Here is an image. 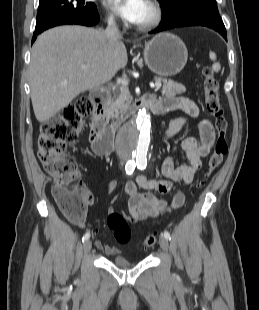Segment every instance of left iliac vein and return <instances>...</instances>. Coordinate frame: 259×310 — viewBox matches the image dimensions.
Returning a JSON list of instances; mask_svg holds the SVG:
<instances>
[{
  "mask_svg": "<svg viewBox=\"0 0 259 310\" xmlns=\"http://www.w3.org/2000/svg\"><path fill=\"white\" fill-rule=\"evenodd\" d=\"M159 244H160V247L162 248V250L164 252H168L169 251V243H168V240L165 237H163V236L160 237Z\"/></svg>",
  "mask_w": 259,
  "mask_h": 310,
  "instance_id": "1",
  "label": "left iliac vein"
}]
</instances>
